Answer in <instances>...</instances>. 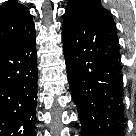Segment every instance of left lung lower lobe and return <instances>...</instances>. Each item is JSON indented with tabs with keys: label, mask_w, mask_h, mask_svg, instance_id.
<instances>
[{
	"label": "left lung lower lobe",
	"mask_w": 136,
	"mask_h": 136,
	"mask_svg": "<svg viewBox=\"0 0 136 136\" xmlns=\"http://www.w3.org/2000/svg\"><path fill=\"white\" fill-rule=\"evenodd\" d=\"M62 39L82 136H121L122 74L114 23L64 20Z\"/></svg>",
	"instance_id": "1"
}]
</instances>
